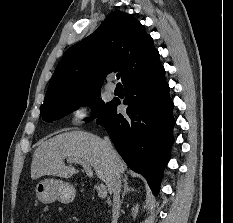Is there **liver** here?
<instances>
[{
  "mask_svg": "<svg viewBox=\"0 0 233 223\" xmlns=\"http://www.w3.org/2000/svg\"><path fill=\"white\" fill-rule=\"evenodd\" d=\"M64 159H67V163H76L77 159H81L91 165L95 175L108 187L109 193H112L113 165H119L120 173H124L120 155L117 153V157L111 159L102 137L89 131H67L40 141L33 153L31 179H37L41 175L71 177L74 173H79L76 167L66 165Z\"/></svg>",
  "mask_w": 233,
  "mask_h": 223,
  "instance_id": "6515ba94",
  "label": "liver"
}]
</instances>
